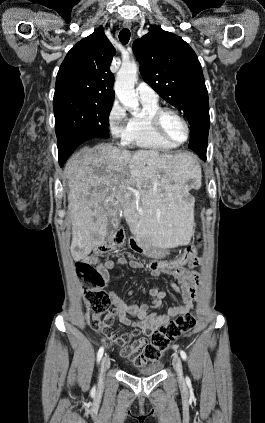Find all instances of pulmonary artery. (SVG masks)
<instances>
[{
    "label": "pulmonary artery",
    "mask_w": 265,
    "mask_h": 423,
    "mask_svg": "<svg viewBox=\"0 0 265 423\" xmlns=\"http://www.w3.org/2000/svg\"><path fill=\"white\" fill-rule=\"evenodd\" d=\"M136 92L141 101L154 102L158 100L157 93L148 84L139 83L136 87Z\"/></svg>",
    "instance_id": "pulmonary-artery-1"
}]
</instances>
